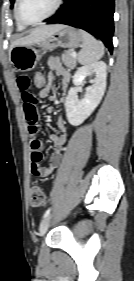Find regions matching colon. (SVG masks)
<instances>
[{
  "mask_svg": "<svg viewBox=\"0 0 134 281\" xmlns=\"http://www.w3.org/2000/svg\"><path fill=\"white\" fill-rule=\"evenodd\" d=\"M47 76L43 72L35 73L33 84L37 89L43 90L47 85ZM47 198L44 190L40 186H34L31 190V205L42 208L46 205Z\"/></svg>",
  "mask_w": 134,
  "mask_h": 281,
  "instance_id": "obj_1",
  "label": "colon"
}]
</instances>
